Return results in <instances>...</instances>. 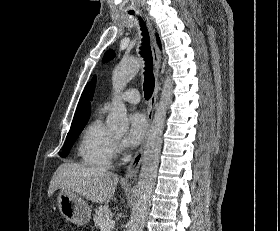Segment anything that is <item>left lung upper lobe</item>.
Segmentation results:
<instances>
[{"label": "left lung upper lobe", "mask_w": 280, "mask_h": 231, "mask_svg": "<svg viewBox=\"0 0 280 231\" xmlns=\"http://www.w3.org/2000/svg\"><path fill=\"white\" fill-rule=\"evenodd\" d=\"M158 40V43L160 45V41H159V38H157ZM114 51L112 50H109L105 53V56L103 57L102 61L103 62H107L108 60H111L113 57H114ZM95 82H96V78H93L92 79V85H91V97L93 96V92H94V87H95Z\"/></svg>", "instance_id": "left-lung-upper-lobe-1"}]
</instances>
